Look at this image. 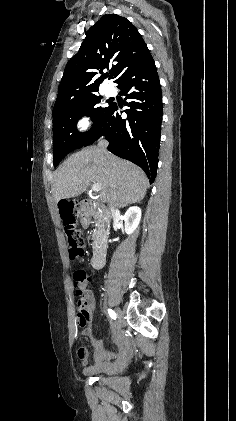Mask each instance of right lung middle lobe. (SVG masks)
Wrapping results in <instances>:
<instances>
[{"instance_id":"obj_1","label":"right lung middle lobe","mask_w":236,"mask_h":421,"mask_svg":"<svg viewBox=\"0 0 236 421\" xmlns=\"http://www.w3.org/2000/svg\"><path fill=\"white\" fill-rule=\"evenodd\" d=\"M102 97L96 94L81 97L69 101L53 110V160L54 166L71 151L79 149L95 134L102 125L108 107H101L99 104ZM88 115L92 117L94 124L90 131L81 134L76 130L78 119Z\"/></svg>"}]
</instances>
